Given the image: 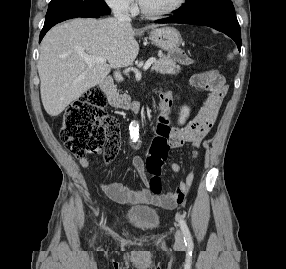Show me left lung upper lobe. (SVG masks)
<instances>
[{"instance_id": "5c2ea615", "label": "left lung upper lobe", "mask_w": 286, "mask_h": 269, "mask_svg": "<svg viewBox=\"0 0 286 269\" xmlns=\"http://www.w3.org/2000/svg\"><path fill=\"white\" fill-rule=\"evenodd\" d=\"M205 11H235L231 0H186L184 7L174 13L191 15Z\"/></svg>"}]
</instances>
